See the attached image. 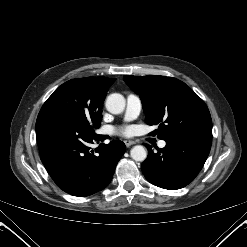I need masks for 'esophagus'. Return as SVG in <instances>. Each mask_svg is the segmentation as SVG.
Segmentation results:
<instances>
[{
  "label": "esophagus",
  "instance_id": "34e87169",
  "mask_svg": "<svg viewBox=\"0 0 247 247\" xmlns=\"http://www.w3.org/2000/svg\"><path fill=\"white\" fill-rule=\"evenodd\" d=\"M126 147H130L131 145L135 144V141L133 140H125L124 141Z\"/></svg>",
  "mask_w": 247,
  "mask_h": 247
}]
</instances>
